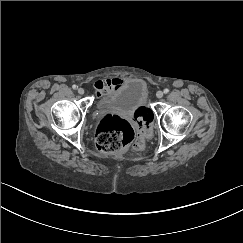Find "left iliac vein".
<instances>
[{
	"label": "left iliac vein",
	"instance_id": "4c4485c4",
	"mask_svg": "<svg viewBox=\"0 0 243 243\" xmlns=\"http://www.w3.org/2000/svg\"><path fill=\"white\" fill-rule=\"evenodd\" d=\"M156 97H157V98H162V97H163V92H162V91H158V92L156 93Z\"/></svg>",
	"mask_w": 243,
	"mask_h": 243
}]
</instances>
